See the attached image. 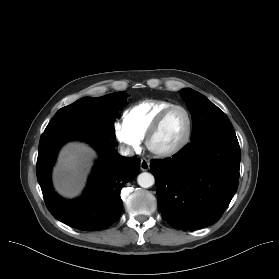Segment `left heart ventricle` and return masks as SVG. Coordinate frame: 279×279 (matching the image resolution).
I'll return each mask as SVG.
<instances>
[{
  "mask_svg": "<svg viewBox=\"0 0 279 279\" xmlns=\"http://www.w3.org/2000/svg\"><path fill=\"white\" fill-rule=\"evenodd\" d=\"M186 128L187 119L184 112L179 109L173 110L153 138V146L161 150L175 146L183 138Z\"/></svg>",
  "mask_w": 279,
  "mask_h": 279,
  "instance_id": "b2bd125f",
  "label": "left heart ventricle"
}]
</instances>
